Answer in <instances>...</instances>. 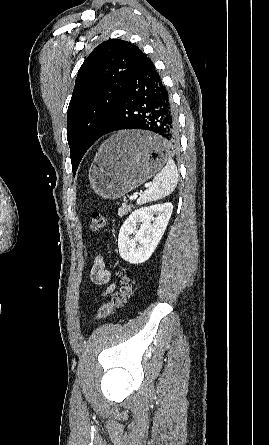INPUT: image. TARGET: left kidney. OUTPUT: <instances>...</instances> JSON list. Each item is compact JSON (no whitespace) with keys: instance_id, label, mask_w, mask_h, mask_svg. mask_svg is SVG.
I'll return each mask as SVG.
<instances>
[{"instance_id":"obj_1","label":"left kidney","mask_w":269,"mask_h":445,"mask_svg":"<svg viewBox=\"0 0 269 445\" xmlns=\"http://www.w3.org/2000/svg\"><path fill=\"white\" fill-rule=\"evenodd\" d=\"M172 211L173 205L168 202L132 212L119 231L118 247L121 258L132 264L148 260L166 230ZM140 223V230H137ZM131 234L135 235L133 239L129 237Z\"/></svg>"}]
</instances>
